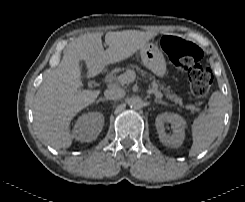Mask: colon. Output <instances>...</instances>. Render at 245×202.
Returning <instances> with one entry per match:
<instances>
[{
	"label": "colon",
	"instance_id": "5ec220e1",
	"mask_svg": "<svg viewBox=\"0 0 245 202\" xmlns=\"http://www.w3.org/2000/svg\"><path fill=\"white\" fill-rule=\"evenodd\" d=\"M161 46L175 68L187 72L191 91L195 97H202L209 91L213 75L200 65L201 49L192 42L173 35H165Z\"/></svg>",
	"mask_w": 245,
	"mask_h": 202
}]
</instances>
